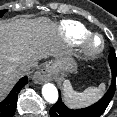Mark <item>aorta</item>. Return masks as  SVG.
Wrapping results in <instances>:
<instances>
[{"label":"aorta","mask_w":117,"mask_h":117,"mask_svg":"<svg viewBox=\"0 0 117 117\" xmlns=\"http://www.w3.org/2000/svg\"><path fill=\"white\" fill-rule=\"evenodd\" d=\"M42 95L48 103H56L58 100V90L52 83H46L42 87Z\"/></svg>","instance_id":"762f6f07"}]
</instances>
